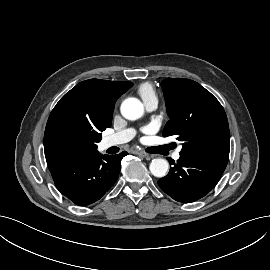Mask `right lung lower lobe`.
I'll return each mask as SVG.
<instances>
[{
  "label": "right lung lower lobe",
  "instance_id": "right-lung-lower-lobe-1",
  "mask_svg": "<svg viewBox=\"0 0 270 270\" xmlns=\"http://www.w3.org/2000/svg\"><path fill=\"white\" fill-rule=\"evenodd\" d=\"M128 153L91 154L55 159L48 164L58 190L73 203L85 206L99 200L116 182L121 160Z\"/></svg>",
  "mask_w": 270,
  "mask_h": 270
}]
</instances>
